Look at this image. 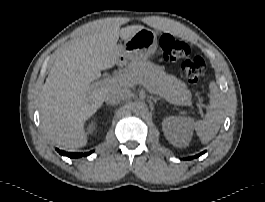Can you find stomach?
<instances>
[{"label": "stomach", "mask_w": 265, "mask_h": 202, "mask_svg": "<svg viewBox=\"0 0 265 202\" xmlns=\"http://www.w3.org/2000/svg\"><path fill=\"white\" fill-rule=\"evenodd\" d=\"M157 46L156 33L144 28L124 42L122 55L132 62H142L156 53Z\"/></svg>", "instance_id": "0dacf381"}]
</instances>
